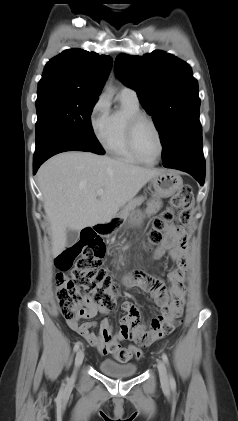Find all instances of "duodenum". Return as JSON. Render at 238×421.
Wrapping results in <instances>:
<instances>
[{
    "mask_svg": "<svg viewBox=\"0 0 238 421\" xmlns=\"http://www.w3.org/2000/svg\"><path fill=\"white\" fill-rule=\"evenodd\" d=\"M111 228V225L108 223H97L92 228H88L87 231L92 232L93 234L103 235L108 232Z\"/></svg>",
    "mask_w": 238,
    "mask_h": 421,
    "instance_id": "obj_1",
    "label": "duodenum"
}]
</instances>
